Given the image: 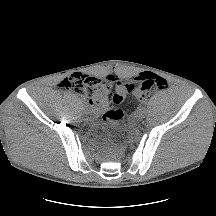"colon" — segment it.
<instances>
[{"label": "colon", "instance_id": "obj_1", "mask_svg": "<svg viewBox=\"0 0 216 216\" xmlns=\"http://www.w3.org/2000/svg\"><path fill=\"white\" fill-rule=\"evenodd\" d=\"M61 85L89 99L97 112L102 111V123L105 127L113 126L123 118L121 104L128 93H133L135 99L140 101L146 99L154 88H167L164 78L148 73L141 74L135 83H117L114 91L107 78L82 74L65 79Z\"/></svg>", "mask_w": 216, "mask_h": 216}]
</instances>
